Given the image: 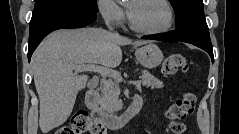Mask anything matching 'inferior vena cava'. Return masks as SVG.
<instances>
[{"mask_svg": "<svg viewBox=\"0 0 239 134\" xmlns=\"http://www.w3.org/2000/svg\"><path fill=\"white\" fill-rule=\"evenodd\" d=\"M106 25L108 26V28H109L111 31H113V28H111V26H109L108 21H106Z\"/></svg>", "mask_w": 239, "mask_h": 134, "instance_id": "1", "label": "inferior vena cava"}]
</instances>
